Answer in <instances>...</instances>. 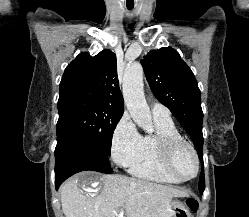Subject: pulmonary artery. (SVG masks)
<instances>
[{"label": "pulmonary artery", "mask_w": 249, "mask_h": 217, "mask_svg": "<svg viewBox=\"0 0 249 217\" xmlns=\"http://www.w3.org/2000/svg\"><path fill=\"white\" fill-rule=\"evenodd\" d=\"M152 114L153 117L162 118V119H170V111L167 107L160 103H154L152 105Z\"/></svg>", "instance_id": "1"}]
</instances>
